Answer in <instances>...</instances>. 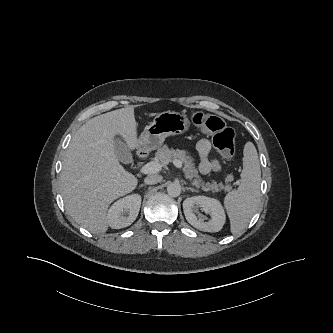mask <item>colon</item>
Listing matches in <instances>:
<instances>
[{
  "mask_svg": "<svg viewBox=\"0 0 333 333\" xmlns=\"http://www.w3.org/2000/svg\"><path fill=\"white\" fill-rule=\"evenodd\" d=\"M193 124L207 133H214V147L226 158L233 157L235 153V133L225 126L217 116L197 112L192 116Z\"/></svg>",
  "mask_w": 333,
  "mask_h": 333,
  "instance_id": "obj_1",
  "label": "colon"
}]
</instances>
